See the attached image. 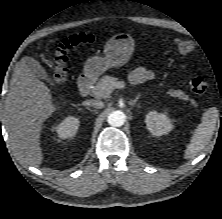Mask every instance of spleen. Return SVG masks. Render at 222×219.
Returning a JSON list of instances; mask_svg holds the SVG:
<instances>
[{"label": "spleen", "mask_w": 222, "mask_h": 219, "mask_svg": "<svg viewBox=\"0 0 222 219\" xmlns=\"http://www.w3.org/2000/svg\"><path fill=\"white\" fill-rule=\"evenodd\" d=\"M219 112L216 108H209L204 112L201 123L195 129L190 144L185 149L184 158L195 157L210 141L216 128Z\"/></svg>", "instance_id": "obj_1"}]
</instances>
